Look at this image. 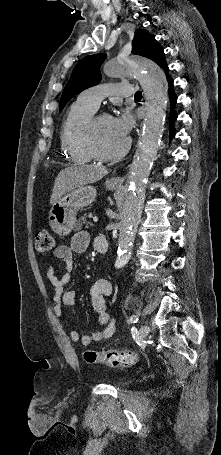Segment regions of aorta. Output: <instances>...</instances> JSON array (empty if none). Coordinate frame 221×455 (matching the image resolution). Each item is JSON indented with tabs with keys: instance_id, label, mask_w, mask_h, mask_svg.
Returning <instances> with one entry per match:
<instances>
[{
	"instance_id": "obj_1",
	"label": "aorta",
	"mask_w": 221,
	"mask_h": 455,
	"mask_svg": "<svg viewBox=\"0 0 221 455\" xmlns=\"http://www.w3.org/2000/svg\"><path fill=\"white\" fill-rule=\"evenodd\" d=\"M109 77L136 76L146 97V116L139 149L130 166L119 225L116 266H124L131 256L145 199L150 169L161 143L168 105L165 74L151 60L141 57L115 59L104 65Z\"/></svg>"
}]
</instances>
